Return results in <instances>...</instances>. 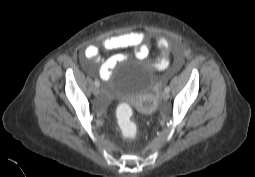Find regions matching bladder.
Returning <instances> with one entry per match:
<instances>
[{"label":"bladder","mask_w":255,"mask_h":177,"mask_svg":"<svg viewBox=\"0 0 255 177\" xmlns=\"http://www.w3.org/2000/svg\"><path fill=\"white\" fill-rule=\"evenodd\" d=\"M129 64H124L126 70ZM137 72L134 75L121 79L119 75L110 76L105 80L106 93L116 99H122L134 104L141 113L147 112V104L140 100V96L149 91L153 79V68L144 60H138Z\"/></svg>","instance_id":"bladder-1"}]
</instances>
